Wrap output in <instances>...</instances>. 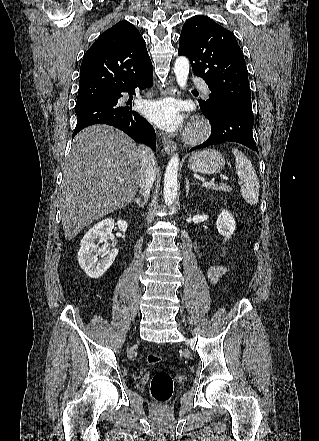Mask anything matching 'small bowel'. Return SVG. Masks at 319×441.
<instances>
[{
  "instance_id": "1",
  "label": "small bowel",
  "mask_w": 319,
  "mask_h": 441,
  "mask_svg": "<svg viewBox=\"0 0 319 441\" xmlns=\"http://www.w3.org/2000/svg\"><path fill=\"white\" fill-rule=\"evenodd\" d=\"M224 274L225 270L223 268L218 266L212 267L208 272L209 280L212 283H216Z\"/></svg>"
}]
</instances>
